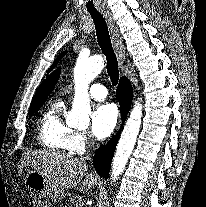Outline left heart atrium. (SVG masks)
<instances>
[{
  "instance_id": "1",
  "label": "left heart atrium",
  "mask_w": 206,
  "mask_h": 207,
  "mask_svg": "<svg viewBox=\"0 0 206 207\" xmlns=\"http://www.w3.org/2000/svg\"><path fill=\"white\" fill-rule=\"evenodd\" d=\"M118 121V109L113 103H105L96 108L92 116V133L98 139L109 136Z\"/></svg>"
}]
</instances>
